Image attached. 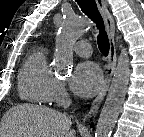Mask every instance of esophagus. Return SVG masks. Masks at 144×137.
<instances>
[{
  "mask_svg": "<svg viewBox=\"0 0 144 137\" xmlns=\"http://www.w3.org/2000/svg\"><path fill=\"white\" fill-rule=\"evenodd\" d=\"M96 3L105 23L106 32L109 38L110 48H109L108 64L105 68L104 83L101 87L99 94L93 100L89 112L84 116L83 123L87 122L91 117H93L97 113L108 91L109 85L111 83L113 74L116 69V62H117L116 45L114 39L115 24H114L113 17L111 16L108 10L107 3L105 0H96Z\"/></svg>",
  "mask_w": 144,
  "mask_h": 137,
  "instance_id": "34e87169",
  "label": "esophagus"
}]
</instances>
